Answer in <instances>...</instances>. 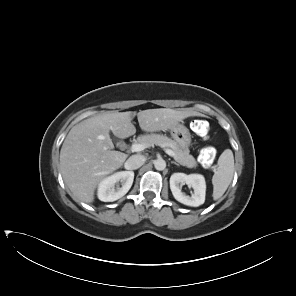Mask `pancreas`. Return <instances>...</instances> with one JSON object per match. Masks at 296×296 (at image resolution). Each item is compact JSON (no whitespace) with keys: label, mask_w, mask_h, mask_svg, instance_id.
<instances>
[{"label":"pancreas","mask_w":296,"mask_h":296,"mask_svg":"<svg viewBox=\"0 0 296 296\" xmlns=\"http://www.w3.org/2000/svg\"><path fill=\"white\" fill-rule=\"evenodd\" d=\"M137 142L141 144H145L147 147H152L154 145L161 146V147H169L175 153V160L185 166L187 168H196L197 161L195 158L189 154L188 148H181L178 144L168 138L167 136L160 135V134H147L137 138Z\"/></svg>","instance_id":"1"}]
</instances>
